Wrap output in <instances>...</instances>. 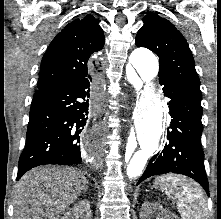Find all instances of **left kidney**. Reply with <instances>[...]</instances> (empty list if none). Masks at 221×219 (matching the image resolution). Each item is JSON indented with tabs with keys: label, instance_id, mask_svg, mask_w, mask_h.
<instances>
[{
	"label": "left kidney",
	"instance_id": "1",
	"mask_svg": "<svg viewBox=\"0 0 221 219\" xmlns=\"http://www.w3.org/2000/svg\"><path fill=\"white\" fill-rule=\"evenodd\" d=\"M153 214L157 215L156 219H177L173 213L164 209L162 206L156 203L145 202L142 205L141 219H150Z\"/></svg>",
	"mask_w": 221,
	"mask_h": 219
}]
</instances>
